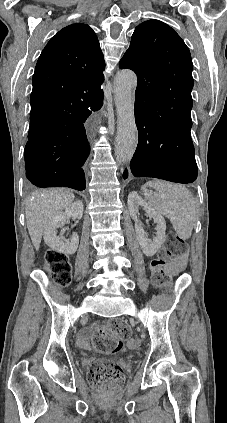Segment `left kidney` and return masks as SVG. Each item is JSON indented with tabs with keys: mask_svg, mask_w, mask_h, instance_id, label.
Returning <instances> with one entry per match:
<instances>
[{
	"mask_svg": "<svg viewBox=\"0 0 227 423\" xmlns=\"http://www.w3.org/2000/svg\"><path fill=\"white\" fill-rule=\"evenodd\" d=\"M128 210L129 213L135 221V231L137 235V239L142 247L143 253L145 255H148V257H151V255H154L156 253L157 249L161 247L162 243H164V239L166 237L165 235V229H166V221L159 213V211L153 210V208H150L144 200H142L141 196L137 194V192H130L128 196ZM142 208V210L146 211V215H149V217H153L155 223H156V235H154L153 239H148L146 231H144L142 227L141 221L138 219L137 210L138 208Z\"/></svg>",
	"mask_w": 227,
	"mask_h": 423,
	"instance_id": "obj_1",
	"label": "left kidney"
}]
</instances>
